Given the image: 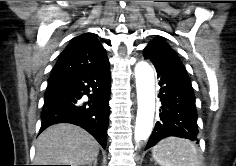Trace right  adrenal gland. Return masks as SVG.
I'll use <instances>...</instances> for the list:
<instances>
[{
  "label": "right adrenal gland",
  "mask_w": 236,
  "mask_h": 166,
  "mask_svg": "<svg viewBox=\"0 0 236 166\" xmlns=\"http://www.w3.org/2000/svg\"><path fill=\"white\" fill-rule=\"evenodd\" d=\"M97 165V159H95V161L93 162V166ZM89 166H92V164H90Z\"/></svg>",
  "instance_id": "2a0ac1e0"
}]
</instances>
